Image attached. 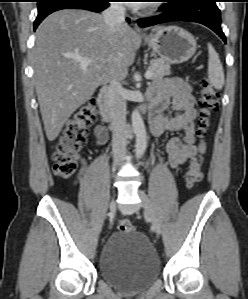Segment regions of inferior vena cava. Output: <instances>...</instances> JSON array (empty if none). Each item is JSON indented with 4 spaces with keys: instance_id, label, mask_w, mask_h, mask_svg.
<instances>
[{
    "instance_id": "602c4592",
    "label": "inferior vena cava",
    "mask_w": 248,
    "mask_h": 299,
    "mask_svg": "<svg viewBox=\"0 0 248 299\" xmlns=\"http://www.w3.org/2000/svg\"><path fill=\"white\" fill-rule=\"evenodd\" d=\"M102 15L110 29H113L117 25L125 24V8L117 2L111 3L103 11ZM108 107L113 132V160L115 165H120L126 153L128 131L124 89L116 78L110 81Z\"/></svg>"
}]
</instances>
